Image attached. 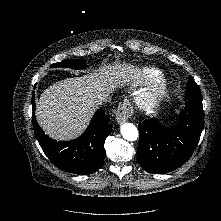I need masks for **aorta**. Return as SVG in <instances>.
<instances>
[{
	"instance_id": "obj_1",
	"label": "aorta",
	"mask_w": 221,
	"mask_h": 221,
	"mask_svg": "<svg viewBox=\"0 0 221 221\" xmlns=\"http://www.w3.org/2000/svg\"><path fill=\"white\" fill-rule=\"evenodd\" d=\"M120 131L123 138L128 141H135L139 136L138 129L132 123L122 124Z\"/></svg>"
}]
</instances>
